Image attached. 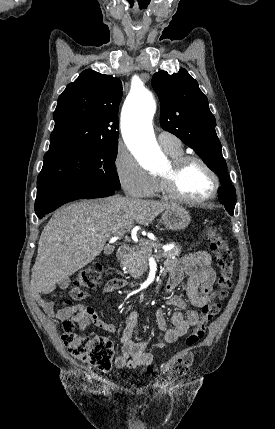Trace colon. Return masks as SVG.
Returning <instances> with one entry per match:
<instances>
[{
    "label": "colon",
    "instance_id": "colon-1",
    "mask_svg": "<svg viewBox=\"0 0 275 429\" xmlns=\"http://www.w3.org/2000/svg\"><path fill=\"white\" fill-rule=\"evenodd\" d=\"M207 239L211 251L216 257V262L221 274L218 279L219 294L218 300L202 307L201 318L192 331L186 336V349L177 353L163 367L160 380L169 383L185 376L194 361L191 348L200 342L206 330V325L221 310V301L228 295L233 282L234 257L227 240L214 226L206 229ZM106 272V268L101 263H92L82 268L70 290L80 289V287H95L100 282ZM63 342L70 354L82 363L88 364L98 371H108L111 367L114 346L112 341L106 336L88 337L74 331V324L70 321L63 323Z\"/></svg>",
    "mask_w": 275,
    "mask_h": 429
}]
</instances>
